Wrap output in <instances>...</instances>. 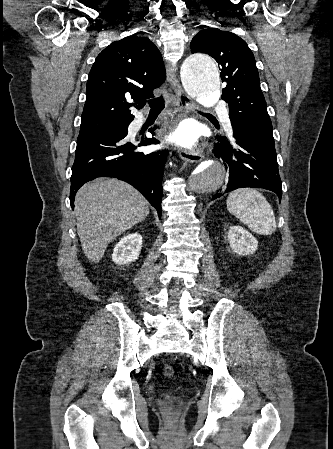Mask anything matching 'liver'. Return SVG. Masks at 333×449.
<instances>
[{
  "instance_id": "obj_1",
  "label": "liver",
  "mask_w": 333,
  "mask_h": 449,
  "mask_svg": "<svg viewBox=\"0 0 333 449\" xmlns=\"http://www.w3.org/2000/svg\"><path fill=\"white\" fill-rule=\"evenodd\" d=\"M74 204L82 250L95 263L102 259L110 242L149 214L145 198L118 179L100 178L84 184Z\"/></svg>"
}]
</instances>
